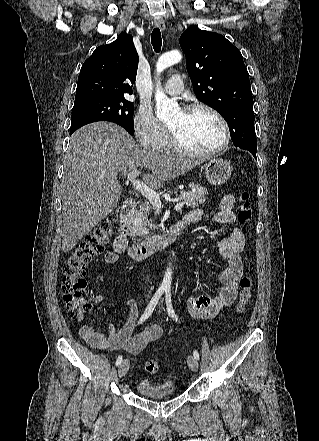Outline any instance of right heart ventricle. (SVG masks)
Wrapping results in <instances>:
<instances>
[{
  "label": "right heart ventricle",
  "instance_id": "1",
  "mask_svg": "<svg viewBox=\"0 0 319 441\" xmlns=\"http://www.w3.org/2000/svg\"><path fill=\"white\" fill-rule=\"evenodd\" d=\"M165 148H167V149H170L171 148V145H170V143L168 142L167 143V145H166V147Z\"/></svg>",
  "mask_w": 319,
  "mask_h": 441
}]
</instances>
